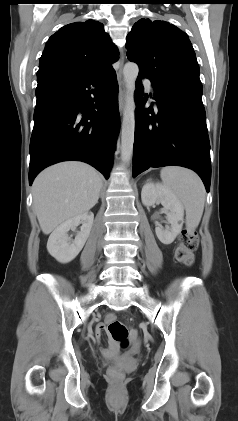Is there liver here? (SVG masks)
I'll return each mask as SVG.
<instances>
[{
  "label": "liver",
  "instance_id": "6515ba94",
  "mask_svg": "<svg viewBox=\"0 0 238 421\" xmlns=\"http://www.w3.org/2000/svg\"><path fill=\"white\" fill-rule=\"evenodd\" d=\"M102 188L100 174L82 162H63L43 170L33 183V204L44 234L89 211Z\"/></svg>",
  "mask_w": 238,
  "mask_h": 421
}]
</instances>
